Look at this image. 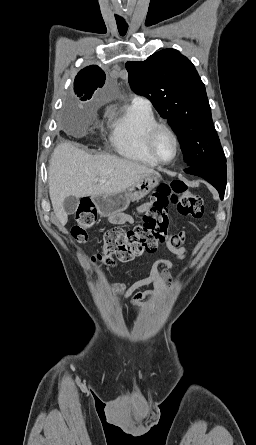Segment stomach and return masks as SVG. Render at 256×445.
<instances>
[{
	"mask_svg": "<svg viewBox=\"0 0 256 445\" xmlns=\"http://www.w3.org/2000/svg\"><path fill=\"white\" fill-rule=\"evenodd\" d=\"M159 178V175H151L133 184L124 192L96 195L93 201L99 214L103 217H113L125 211L130 202L141 200L156 188L159 185Z\"/></svg>",
	"mask_w": 256,
	"mask_h": 445,
	"instance_id": "stomach-1",
	"label": "stomach"
}]
</instances>
